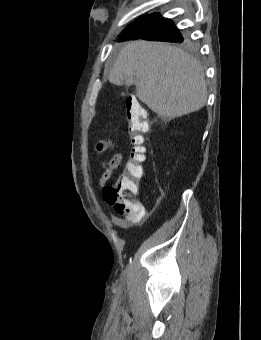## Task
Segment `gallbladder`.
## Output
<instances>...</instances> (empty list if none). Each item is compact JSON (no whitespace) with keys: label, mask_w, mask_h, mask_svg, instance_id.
I'll list each match as a JSON object with an SVG mask.
<instances>
[{"label":"gallbladder","mask_w":261,"mask_h":340,"mask_svg":"<svg viewBox=\"0 0 261 340\" xmlns=\"http://www.w3.org/2000/svg\"><path fill=\"white\" fill-rule=\"evenodd\" d=\"M132 84H134V83H133V82H132V83H127L126 85H127V86H130V85H132Z\"/></svg>","instance_id":"obj_1"}]
</instances>
